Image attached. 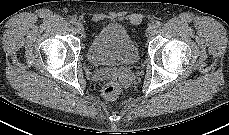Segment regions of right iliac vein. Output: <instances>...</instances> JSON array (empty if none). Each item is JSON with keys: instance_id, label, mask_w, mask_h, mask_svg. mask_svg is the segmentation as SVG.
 I'll return each instance as SVG.
<instances>
[{"instance_id": "1", "label": "right iliac vein", "mask_w": 229, "mask_h": 135, "mask_svg": "<svg viewBox=\"0 0 229 135\" xmlns=\"http://www.w3.org/2000/svg\"><path fill=\"white\" fill-rule=\"evenodd\" d=\"M76 30L80 34L84 33V25L82 23H77L76 24Z\"/></svg>"}]
</instances>
